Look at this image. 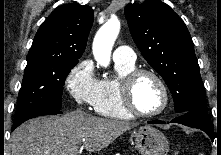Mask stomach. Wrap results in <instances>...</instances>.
Masks as SVG:
<instances>
[{"mask_svg": "<svg viewBox=\"0 0 221 155\" xmlns=\"http://www.w3.org/2000/svg\"><path fill=\"white\" fill-rule=\"evenodd\" d=\"M135 147L140 155H167L170 150L165 135L151 126H143L135 132Z\"/></svg>", "mask_w": 221, "mask_h": 155, "instance_id": "1", "label": "stomach"}]
</instances>
